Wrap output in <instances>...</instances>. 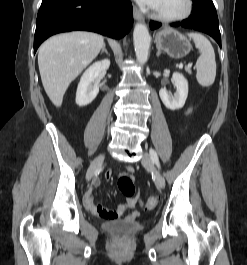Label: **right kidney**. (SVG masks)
<instances>
[{
  "mask_svg": "<svg viewBox=\"0 0 247 265\" xmlns=\"http://www.w3.org/2000/svg\"><path fill=\"white\" fill-rule=\"evenodd\" d=\"M110 60L104 59L92 64L82 75L76 92V103L79 106L90 104L99 92V75L109 69Z\"/></svg>",
  "mask_w": 247,
  "mask_h": 265,
  "instance_id": "right-kidney-1",
  "label": "right kidney"
}]
</instances>
